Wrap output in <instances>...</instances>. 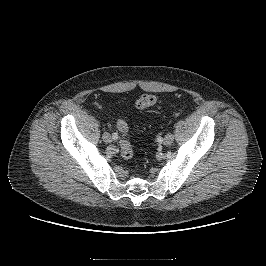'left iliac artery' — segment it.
Wrapping results in <instances>:
<instances>
[{"label": "left iliac artery", "instance_id": "44dca946", "mask_svg": "<svg viewBox=\"0 0 266 266\" xmlns=\"http://www.w3.org/2000/svg\"><path fill=\"white\" fill-rule=\"evenodd\" d=\"M156 141H157V143H159V144H160V143H162V142H163V139L159 137V138H157V140H156Z\"/></svg>", "mask_w": 266, "mask_h": 266}]
</instances>
